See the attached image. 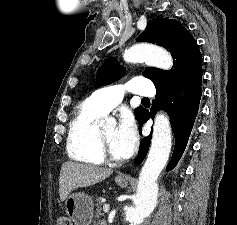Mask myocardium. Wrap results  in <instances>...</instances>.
I'll use <instances>...</instances> for the list:
<instances>
[{"mask_svg": "<svg viewBox=\"0 0 237 225\" xmlns=\"http://www.w3.org/2000/svg\"><path fill=\"white\" fill-rule=\"evenodd\" d=\"M97 134H98V140H99V144H100L101 153H102L104 160H106L107 162H110V163H114V164L121 163L122 159L114 157L113 154L111 153L109 145H108V143L105 139L104 133L102 131V128H98Z\"/></svg>", "mask_w": 237, "mask_h": 225, "instance_id": "1", "label": "myocardium"}]
</instances>
